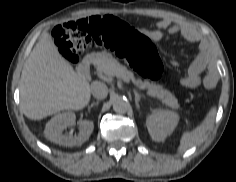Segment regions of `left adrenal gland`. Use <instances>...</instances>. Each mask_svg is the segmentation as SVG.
Returning <instances> with one entry per match:
<instances>
[{"label":"left adrenal gland","mask_w":236,"mask_h":182,"mask_svg":"<svg viewBox=\"0 0 236 182\" xmlns=\"http://www.w3.org/2000/svg\"><path fill=\"white\" fill-rule=\"evenodd\" d=\"M134 94H135V105L139 109V107H140L139 106V101H140L141 98H145V96L139 94L136 89H134Z\"/></svg>","instance_id":"left-adrenal-gland-1"}]
</instances>
